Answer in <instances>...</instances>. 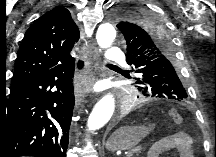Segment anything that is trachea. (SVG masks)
I'll use <instances>...</instances> for the list:
<instances>
[{
  "label": "trachea",
  "mask_w": 216,
  "mask_h": 157,
  "mask_svg": "<svg viewBox=\"0 0 216 157\" xmlns=\"http://www.w3.org/2000/svg\"><path fill=\"white\" fill-rule=\"evenodd\" d=\"M78 64H79V65H82V62H79Z\"/></svg>",
  "instance_id": "3493384b"
}]
</instances>
